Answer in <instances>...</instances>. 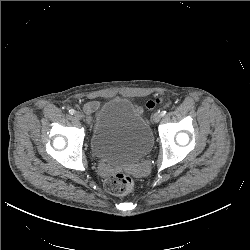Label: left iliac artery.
<instances>
[{"mask_svg": "<svg viewBox=\"0 0 250 250\" xmlns=\"http://www.w3.org/2000/svg\"><path fill=\"white\" fill-rule=\"evenodd\" d=\"M165 114H166L165 110L161 111V116H164Z\"/></svg>", "mask_w": 250, "mask_h": 250, "instance_id": "1", "label": "left iliac artery"}]
</instances>
